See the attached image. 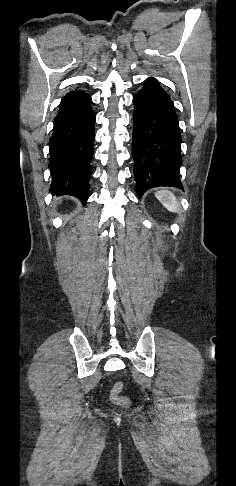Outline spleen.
<instances>
[{"mask_svg":"<svg viewBox=\"0 0 236 486\" xmlns=\"http://www.w3.org/2000/svg\"><path fill=\"white\" fill-rule=\"evenodd\" d=\"M155 196L170 212L176 213L179 211V203L172 192L167 190H160L155 193Z\"/></svg>","mask_w":236,"mask_h":486,"instance_id":"obj_1","label":"spleen"}]
</instances>
